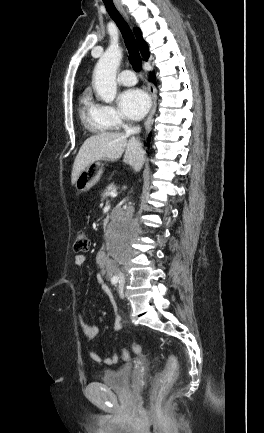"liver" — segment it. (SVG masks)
Returning <instances> with one entry per match:
<instances>
[{
    "label": "liver",
    "mask_w": 264,
    "mask_h": 433,
    "mask_svg": "<svg viewBox=\"0 0 264 433\" xmlns=\"http://www.w3.org/2000/svg\"><path fill=\"white\" fill-rule=\"evenodd\" d=\"M124 153L123 162L139 171L144 163V150L138 139L130 138L124 133L104 132L91 136L81 146L71 173V183L74 185L79 174L91 163L104 159L118 160Z\"/></svg>",
    "instance_id": "liver-1"
}]
</instances>
